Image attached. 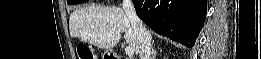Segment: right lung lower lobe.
I'll list each match as a JSON object with an SVG mask.
<instances>
[{"label": "right lung lower lobe", "instance_id": "1", "mask_svg": "<svg viewBox=\"0 0 261 59\" xmlns=\"http://www.w3.org/2000/svg\"><path fill=\"white\" fill-rule=\"evenodd\" d=\"M134 7L156 33L192 47L205 21L207 0H134Z\"/></svg>", "mask_w": 261, "mask_h": 59}]
</instances>
